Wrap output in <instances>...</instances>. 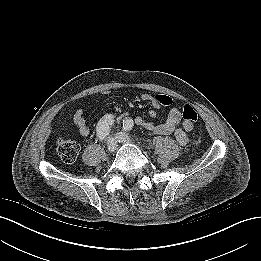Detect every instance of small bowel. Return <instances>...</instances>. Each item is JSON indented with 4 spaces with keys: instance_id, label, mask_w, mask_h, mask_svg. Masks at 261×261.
Masks as SVG:
<instances>
[{
    "instance_id": "small-bowel-1",
    "label": "small bowel",
    "mask_w": 261,
    "mask_h": 261,
    "mask_svg": "<svg viewBox=\"0 0 261 261\" xmlns=\"http://www.w3.org/2000/svg\"><path fill=\"white\" fill-rule=\"evenodd\" d=\"M166 96V95H165ZM168 97V96H167ZM141 100L150 104L152 109L149 110L148 115L151 118H155L157 115L156 110L162 106H166L160 102L157 98V95L151 93H143L141 95ZM136 125L144 127L146 130L158 134V135H170L174 134L178 144L184 146L188 144L189 137L188 132L193 129V123L187 122L186 120L182 121V114L180 110L176 107H171L168 116L165 122L155 125L154 123L145 120L141 116L134 118ZM74 123L79 128L81 135L89 136L90 128L87 125L85 119V109L80 107L77 108L74 114Z\"/></svg>"
}]
</instances>
